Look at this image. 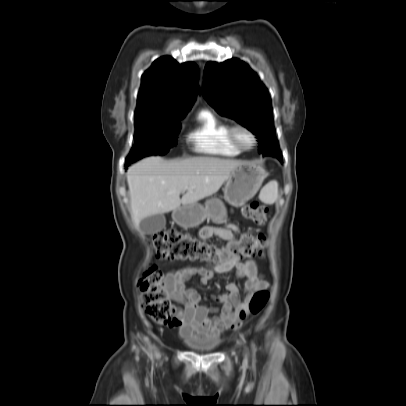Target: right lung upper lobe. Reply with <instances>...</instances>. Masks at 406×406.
Segmentation results:
<instances>
[{
  "mask_svg": "<svg viewBox=\"0 0 406 406\" xmlns=\"http://www.w3.org/2000/svg\"><path fill=\"white\" fill-rule=\"evenodd\" d=\"M198 78L195 63L158 58L142 75L135 116L182 118L195 99Z\"/></svg>",
  "mask_w": 406,
  "mask_h": 406,
  "instance_id": "cb5924a9",
  "label": "right lung upper lobe"
}]
</instances>
